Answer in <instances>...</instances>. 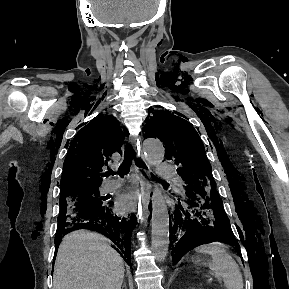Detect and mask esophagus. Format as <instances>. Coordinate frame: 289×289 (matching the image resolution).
Instances as JSON below:
<instances>
[{
  "label": "esophagus",
  "instance_id": "34e87169",
  "mask_svg": "<svg viewBox=\"0 0 289 289\" xmlns=\"http://www.w3.org/2000/svg\"><path fill=\"white\" fill-rule=\"evenodd\" d=\"M131 142L134 146V149L136 150V152L138 153L141 162L146 164V161L143 158V155L141 154V149H140V141L137 140V138L132 137L131 138ZM140 173H139V169L134 166L133 167V177H134V183H137L138 178L140 177ZM140 185H141V189H142V195L144 197L143 201H142V206H141V214L143 215V221L146 223L147 222V218L149 216V203H150V190H151V184L150 182L144 178L143 176H141L140 179Z\"/></svg>",
  "mask_w": 289,
  "mask_h": 289
}]
</instances>
